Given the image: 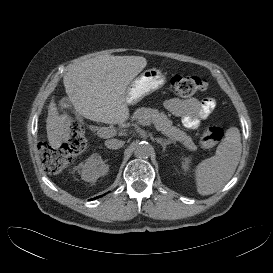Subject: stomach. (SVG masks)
<instances>
[{
  "instance_id": "obj_1",
  "label": "stomach",
  "mask_w": 273,
  "mask_h": 273,
  "mask_svg": "<svg viewBox=\"0 0 273 273\" xmlns=\"http://www.w3.org/2000/svg\"><path fill=\"white\" fill-rule=\"evenodd\" d=\"M166 81L165 75L156 68L147 69L136 77L126 89L127 105H134L147 95L161 88Z\"/></svg>"
}]
</instances>
